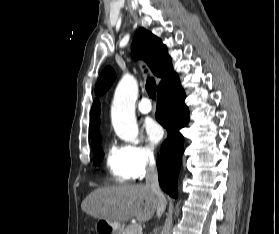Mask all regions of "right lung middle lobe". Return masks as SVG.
<instances>
[{"label":"right lung middle lobe","mask_w":279,"mask_h":234,"mask_svg":"<svg viewBox=\"0 0 279 234\" xmlns=\"http://www.w3.org/2000/svg\"><path fill=\"white\" fill-rule=\"evenodd\" d=\"M100 142H101V138L98 139L93 145H92V149H93V154H94V165H100L101 160L103 158V151L102 148L100 146Z\"/></svg>","instance_id":"obj_1"}]
</instances>
